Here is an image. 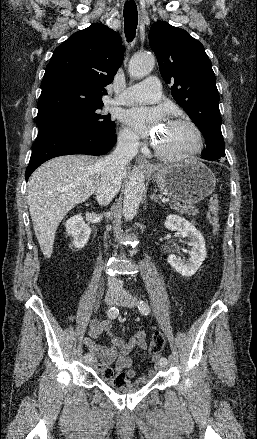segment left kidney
<instances>
[{
	"label": "left kidney",
	"mask_w": 257,
	"mask_h": 439,
	"mask_svg": "<svg viewBox=\"0 0 257 439\" xmlns=\"http://www.w3.org/2000/svg\"><path fill=\"white\" fill-rule=\"evenodd\" d=\"M164 225L168 230L180 232L182 238H188V245L191 246L188 251L190 258L186 262L171 254L168 263L182 276L194 275L206 258L204 237L189 221L174 214L166 217Z\"/></svg>",
	"instance_id": "obj_1"
}]
</instances>
